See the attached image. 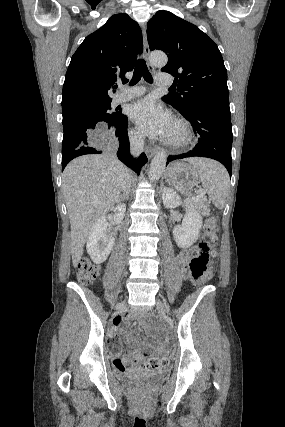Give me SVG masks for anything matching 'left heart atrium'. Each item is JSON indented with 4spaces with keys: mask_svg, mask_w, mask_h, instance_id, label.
I'll list each match as a JSON object with an SVG mask.
<instances>
[{
    "mask_svg": "<svg viewBox=\"0 0 285 427\" xmlns=\"http://www.w3.org/2000/svg\"><path fill=\"white\" fill-rule=\"evenodd\" d=\"M129 116L143 133L164 139L169 138L174 125L171 114L159 106L152 97L134 103Z\"/></svg>",
    "mask_w": 285,
    "mask_h": 427,
    "instance_id": "obj_1",
    "label": "left heart atrium"
}]
</instances>
